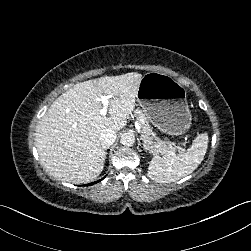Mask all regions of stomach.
<instances>
[{
  "mask_svg": "<svg viewBox=\"0 0 251 251\" xmlns=\"http://www.w3.org/2000/svg\"><path fill=\"white\" fill-rule=\"evenodd\" d=\"M136 100L148 120L165 133L186 132L192 115L185 88L170 75L146 73L138 86Z\"/></svg>",
  "mask_w": 251,
  "mask_h": 251,
  "instance_id": "0dacf381",
  "label": "stomach"
}]
</instances>
